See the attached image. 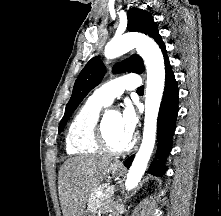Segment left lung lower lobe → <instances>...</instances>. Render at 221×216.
<instances>
[{
	"instance_id": "0a47b994",
	"label": "left lung lower lobe",
	"mask_w": 221,
	"mask_h": 216,
	"mask_svg": "<svg viewBox=\"0 0 221 216\" xmlns=\"http://www.w3.org/2000/svg\"><path fill=\"white\" fill-rule=\"evenodd\" d=\"M165 61V87L160 106L158 121H157V135L158 148L156 151V158L153 160L149 172L151 174L161 176L165 173L164 161L172 149V137L176 128V118L178 113V87L171 69V65L167 56V51L164 43L160 44ZM133 156L125 161L126 167L132 163Z\"/></svg>"
}]
</instances>
